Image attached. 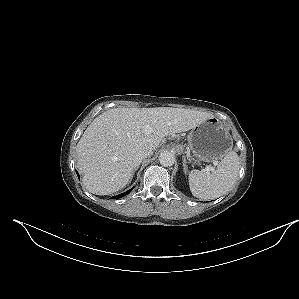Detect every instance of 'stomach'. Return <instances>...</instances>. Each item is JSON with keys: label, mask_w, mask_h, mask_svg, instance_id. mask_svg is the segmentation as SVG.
I'll return each mask as SVG.
<instances>
[{"label": "stomach", "mask_w": 299, "mask_h": 299, "mask_svg": "<svg viewBox=\"0 0 299 299\" xmlns=\"http://www.w3.org/2000/svg\"><path fill=\"white\" fill-rule=\"evenodd\" d=\"M188 145L191 161L212 162L222 159L231 150L232 138L222 123L212 117L190 131Z\"/></svg>", "instance_id": "obj_1"}]
</instances>
